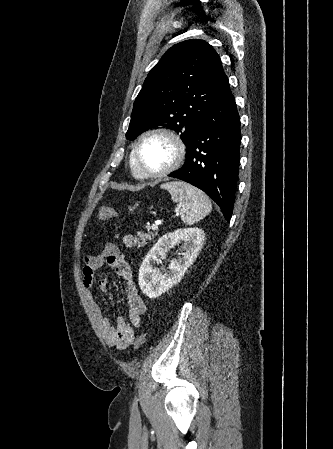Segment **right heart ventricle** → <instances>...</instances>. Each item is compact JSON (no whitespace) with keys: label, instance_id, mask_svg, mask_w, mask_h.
<instances>
[{"label":"right heart ventricle","instance_id":"obj_1","mask_svg":"<svg viewBox=\"0 0 333 449\" xmlns=\"http://www.w3.org/2000/svg\"><path fill=\"white\" fill-rule=\"evenodd\" d=\"M129 166H130V171H131L132 175H133L135 178H140V176H139V174H138V171H137V169H136V166H135V163H134V159H133L132 154H131V156H130Z\"/></svg>","mask_w":333,"mask_h":449}]
</instances>
